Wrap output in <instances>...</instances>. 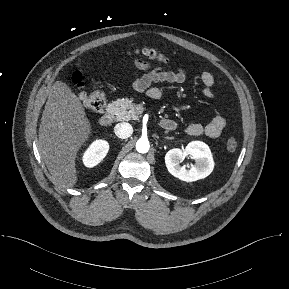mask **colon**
Listing matches in <instances>:
<instances>
[{
  "mask_svg": "<svg viewBox=\"0 0 289 289\" xmlns=\"http://www.w3.org/2000/svg\"><path fill=\"white\" fill-rule=\"evenodd\" d=\"M132 53L136 55H141L150 61H154L158 63L166 64L169 62V59L166 56L159 53L155 49L149 48V47H144L142 49L134 50ZM73 82L80 90L79 98L86 108L95 112H101L105 109L106 98L102 90L95 89L91 92L83 91L82 90V87H83L82 78H81V75L78 73L74 74ZM237 146H238V143L235 138H229L226 142V148L229 152L236 151Z\"/></svg>",
  "mask_w": 289,
  "mask_h": 289,
  "instance_id": "obj_1",
  "label": "colon"
}]
</instances>
